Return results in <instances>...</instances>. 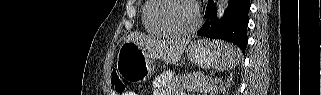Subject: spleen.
I'll return each instance as SVG.
<instances>
[{"label": "spleen", "instance_id": "obj_1", "mask_svg": "<svg viewBox=\"0 0 321 95\" xmlns=\"http://www.w3.org/2000/svg\"><path fill=\"white\" fill-rule=\"evenodd\" d=\"M240 51L231 43L224 45V50L215 63L218 71L230 70L239 63Z\"/></svg>", "mask_w": 321, "mask_h": 95}]
</instances>
